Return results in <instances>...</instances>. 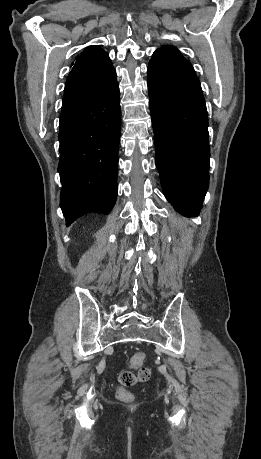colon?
I'll return each mask as SVG.
<instances>
[{
  "label": "colon",
  "mask_w": 261,
  "mask_h": 459,
  "mask_svg": "<svg viewBox=\"0 0 261 459\" xmlns=\"http://www.w3.org/2000/svg\"><path fill=\"white\" fill-rule=\"evenodd\" d=\"M144 359L145 355L142 352L133 354V356L130 358L129 364L132 368L138 370H123L119 373L118 380L121 386L118 387L116 392L119 399L124 401L130 400L132 395L129 391L126 390V388L134 386L137 383L146 382L149 379L151 371L147 367H142Z\"/></svg>",
  "instance_id": "colon-1"
}]
</instances>
